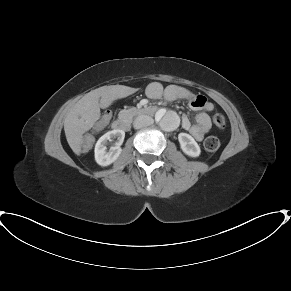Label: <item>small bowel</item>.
<instances>
[{
  "instance_id": "obj_1",
  "label": "small bowel",
  "mask_w": 291,
  "mask_h": 291,
  "mask_svg": "<svg viewBox=\"0 0 291 291\" xmlns=\"http://www.w3.org/2000/svg\"><path fill=\"white\" fill-rule=\"evenodd\" d=\"M146 95L151 100H158L164 97L167 101L185 100L193 108L200 110L195 116V123L183 116L181 120L182 128L189 131L197 140H202L211 128L210 113L214 110L213 103L209 102L204 96L197 95L188 88L180 85H170L163 88L159 82H152L146 89Z\"/></svg>"
}]
</instances>
